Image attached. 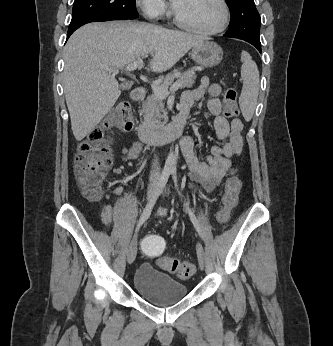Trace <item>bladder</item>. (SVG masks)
<instances>
[{"label":"bladder","instance_id":"obj_1","mask_svg":"<svg viewBox=\"0 0 333 346\" xmlns=\"http://www.w3.org/2000/svg\"><path fill=\"white\" fill-rule=\"evenodd\" d=\"M134 289L150 303L169 305L183 300L187 286L157 270L150 263L141 264L133 278Z\"/></svg>","mask_w":333,"mask_h":346}]
</instances>
